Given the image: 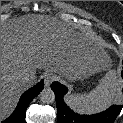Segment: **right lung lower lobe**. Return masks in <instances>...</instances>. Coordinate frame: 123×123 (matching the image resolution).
I'll return each mask as SVG.
<instances>
[{
    "mask_svg": "<svg viewBox=\"0 0 123 123\" xmlns=\"http://www.w3.org/2000/svg\"><path fill=\"white\" fill-rule=\"evenodd\" d=\"M44 82L41 80L37 85L27 90L20 98L15 111L9 118L1 123H25V112L29 103L43 90Z\"/></svg>",
    "mask_w": 123,
    "mask_h": 123,
    "instance_id": "right-lung-lower-lobe-1",
    "label": "right lung lower lobe"
}]
</instances>
